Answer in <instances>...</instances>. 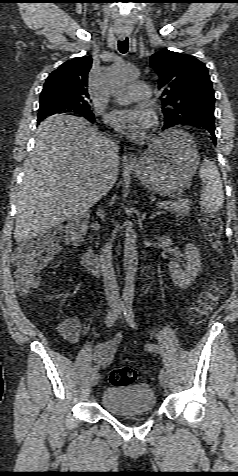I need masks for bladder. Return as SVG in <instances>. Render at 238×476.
Here are the masks:
<instances>
[{
    "mask_svg": "<svg viewBox=\"0 0 238 476\" xmlns=\"http://www.w3.org/2000/svg\"><path fill=\"white\" fill-rule=\"evenodd\" d=\"M101 406L115 416H132L155 409L156 397L147 384L111 385L101 395Z\"/></svg>",
    "mask_w": 238,
    "mask_h": 476,
    "instance_id": "1",
    "label": "bladder"
}]
</instances>
